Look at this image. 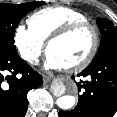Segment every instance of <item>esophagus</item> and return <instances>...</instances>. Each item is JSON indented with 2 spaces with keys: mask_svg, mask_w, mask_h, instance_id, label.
I'll return each mask as SVG.
<instances>
[{
  "mask_svg": "<svg viewBox=\"0 0 117 117\" xmlns=\"http://www.w3.org/2000/svg\"><path fill=\"white\" fill-rule=\"evenodd\" d=\"M51 77L50 76H46V75H43V83L44 84H47L51 81Z\"/></svg>",
  "mask_w": 117,
  "mask_h": 117,
  "instance_id": "obj_1",
  "label": "esophagus"
}]
</instances>
